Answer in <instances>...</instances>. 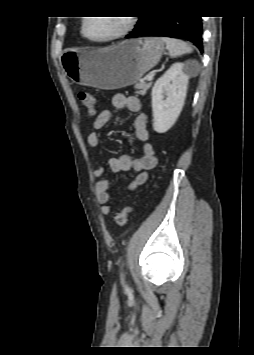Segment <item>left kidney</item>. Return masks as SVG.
I'll list each match as a JSON object with an SVG mask.
<instances>
[{
	"mask_svg": "<svg viewBox=\"0 0 254 355\" xmlns=\"http://www.w3.org/2000/svg\"><path fill=\"white\" fill-rule=\"evenodd\" d=\"M184 68V63H174L154 84L153 129L158 133L167 132L182 111L189 79Z\"/></svg>",
	"mask_w": 254,
	"mask_h": 355,
	"instance_id": "left-kidney-1",
	"label": "left kidney"
}]
</instances>
